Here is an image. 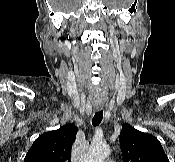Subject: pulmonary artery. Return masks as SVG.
<instances>
[{
	"label": "pulmonary artery",
	"mask_w": 175,
	"mask_h": 162,
	"mask_svg": "<svg viewBox=\"0 0 175 162\" xmlns=\"http://www.w3.org/2000/svg\"><path fill=\"white\" fill-rule=\"evenodd\" d=\"M103 162H113L112 160H105V161H103Z\"/></svg>",
	"instance_id": "obj_1"
}]
</instances>
